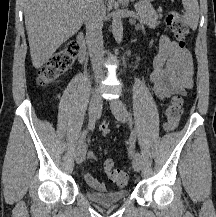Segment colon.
<instances>
[{"mask_svg": "<svg viewBox=\"0 0 216 217\" xmlns=\"http://www.w3.org/2000/svg\"><path fill=\"white\" fill-rule=\"evenodd\" d=\"M166 22L178 44L184 47L188 36V26L182 15L177 11H171L167 15ZM78 51V43L70 42L62 51L54 55L41 67L38 72L37 83L40 86H46L66 74L70 70ZM182 113L183 99L180 96H174L166 109V131H172L176 128ZM99 131L103 136H108L110 133L109 123H102ZM106 167L114 184L124 186L127 183L126 173L122 169L114 167L112 161H108Z\"/></svg>", "mask_w": 216, "mask_h": 217, "instance_id": "5ec220e1", "label": "colon"}]
</instances>
